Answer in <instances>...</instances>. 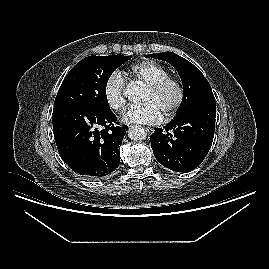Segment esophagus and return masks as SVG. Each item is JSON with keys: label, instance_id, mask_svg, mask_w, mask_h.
I'll return each instance as SVG.
<instances>
[{"label": "esophagus", "instance_id": "34e87169", "mask_svg": "<svg viewBox=\"0 0 269 269\" xmlns=\"http://www.w3.org/2000/svg\"><path fill=\"white\" fill-rule=\"evenodd\" d=\"M146 132L149 133V134H153L154 133V128H151V127H146L145 128Z\"/></svg>", "mask_w": 269, "mask_h": 269}]
</instances>
